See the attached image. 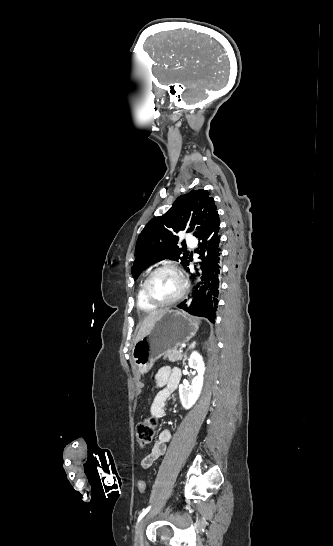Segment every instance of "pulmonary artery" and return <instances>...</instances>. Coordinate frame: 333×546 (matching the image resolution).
<instances>
[{"label": "pulmonary artery", "instance_id": "obj_1", "mask_svg": "<svg viewBox=\"0 0 333 546\" xmlns=\"http://www.w3.org/2000/svg\"><path fill=\"white\" fill-rule=\"evenodd\" d=\"M185 240H186V242H187L189 245H191V246H194V245L196 244V239H195V237H193V236L190 235V234L186 235Z\"/></svg>", "mask_w": 333, "mask_h": 546}]
</instances>
